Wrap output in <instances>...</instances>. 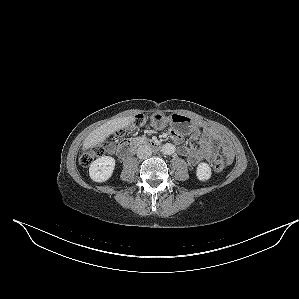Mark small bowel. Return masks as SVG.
Wrapping results in <instances>:
<instances>
[{
    "label": "small bowel",
    "mask_w": 299,
    "mask_h": 299,
    "mask_svg": "<svg viewBox=\"0 0 299 299\" xmlns=\"http://www.w3.org/2000/svg\"><path fill=\"white\" fill-rule=\"evenodd\" d=\"M198 133L201 136L200 148L183 145H180L178 148V152L187 157L191 164L197 165L202 161L213 162L219 148H221L227 163L232 162L234 158L233 150L228 141L218 131L214 129H202L198 130ZM170 135L174 142L178 144L182 142V137L178 132L172 130Z\"/></svg>",
    "instance_id": "obj_1"
}]
</instances>
